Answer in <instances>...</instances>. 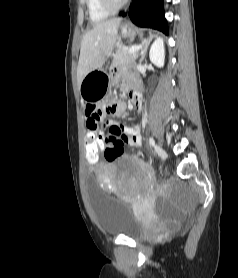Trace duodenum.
I'll return each mask as SVG.
<instances>
[{
	"label": "duodenum",
	"instance_id": "duodenum-1",
	"mask_svg": "<svg viewBox=\"0 0 238 278\" xmlns=\"http://www.w3.org/2000/svg\"><path fill=\"white\" fill-rule=\"evenodd\" d=\"M135 105H136L137 109H141V107H142V101L138 94L135 96Z\"/></svg>",
	"mask_w": 238,
	"mask_h": 278
}]
</instances>
